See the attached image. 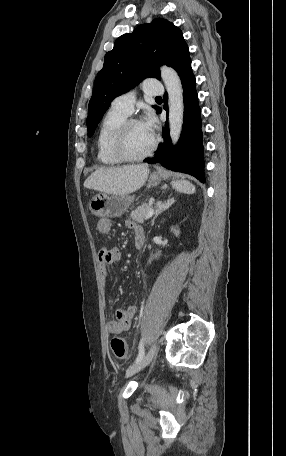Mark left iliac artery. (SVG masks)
<instances>
[{
    "mask_svg": "<svg viewBox=\"0 0 286 456\" xmlns=\"http://www.w3.org/2000/svg\"><path fill=\"white\" fill-rule=\"evenodd\" d=\"M143 342H144V339H141L140 344H139V354L135 360V363L141 361L145 355Z\"/></svg>",
    "mask_w": 286,
    "mask_h": 456,
    "instance_id": "obj_1",
    "label": "left iliac artery"
}]
</instances>
